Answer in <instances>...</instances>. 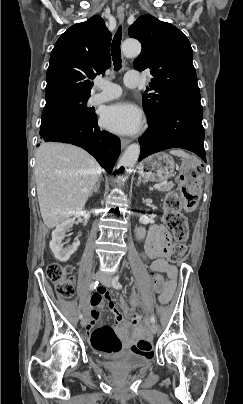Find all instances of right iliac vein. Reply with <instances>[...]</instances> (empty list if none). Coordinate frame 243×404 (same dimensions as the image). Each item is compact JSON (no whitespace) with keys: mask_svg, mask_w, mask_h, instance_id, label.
I'll list each match as a JSON object with an SVG mask.
<instances>
[{"mask_svg":"<svg viewBox=\"0 0 243 404\" xmlns=\"http://www.w3.org/2000/svg\"><path fill=\"white\" fill-rule=\"evenodd\" d=\"M103 277H104V275L101 272H98V273L95 274L94 280L98 281V280H101ZM85 325H86V319L83 318L81 320V326L85 327Z\"/></svg>","mask_w":243,"mask_h":404,"instance_id":"right-iliac-vein-1","label":"right iliac vein"}]
</instances>
